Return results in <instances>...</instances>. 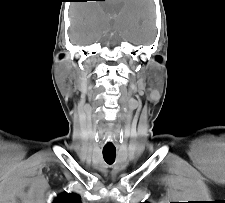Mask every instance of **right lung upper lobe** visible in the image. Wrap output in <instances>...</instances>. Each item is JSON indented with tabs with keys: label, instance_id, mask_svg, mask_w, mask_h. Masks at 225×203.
<instances>
[{
	"label": "right lung upper lobe",
	"instance_id": "cb5924a9",
	"mask_svg": "<svg viewBox=\"0 0 225 203\" xmlns=\"http://www.w3.org/2000/svg\"><path fill=\"white\" fill-rule=\"evenodd\" d=\"M53 203H81V198L75 193H64L59 195Z\"/></svg>",
	"mask_w": 225,
	"mask_h": 203
}]
</instances>
